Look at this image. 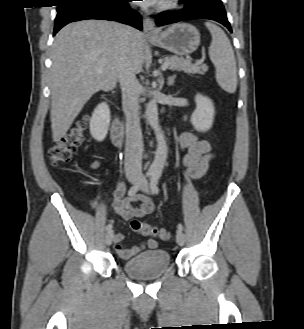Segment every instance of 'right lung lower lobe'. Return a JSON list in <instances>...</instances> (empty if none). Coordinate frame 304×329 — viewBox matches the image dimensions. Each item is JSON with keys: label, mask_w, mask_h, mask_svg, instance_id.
I'll return each instance as SVG.
<instances>
[{"label": "right lung lower lobe", "mask_w": 304, "mask_h": 329, "mask_svg": "<svg viewBox=\"0 0 304 329\" xmlns=\"http://www.w3.org/2000/svg\"><path fill=\"white\" fill-rule=\"evenodd\" d=\"M132 0H81L57 8L54 35L66 24L86 19L115 20L142 30L139 13L128 6Z\"/></svg>", "instance_id": "98d812e1"}]
</instances>
